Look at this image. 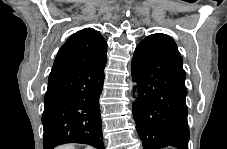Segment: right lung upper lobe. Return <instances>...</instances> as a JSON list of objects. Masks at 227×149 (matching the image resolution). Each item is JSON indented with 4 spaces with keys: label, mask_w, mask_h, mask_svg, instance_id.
<instances>
[{
    "label": "right lung upper lobe",
    "mask_w": 227,
    "mask_h": 149,
    "mask_svg": "<svg viewBox=\"0 0 227 149\" xmlns=\"http://www.w3.org/2000/svg\"><path fill=\"white\" fill-rule=\"evenodd\" d=\"M107 60V42L102 35L86 28L71 35L59 49L49 80L83 71Z\"/></svg>",
    "instance_id": "cb5924a9"
}]
</instances>
